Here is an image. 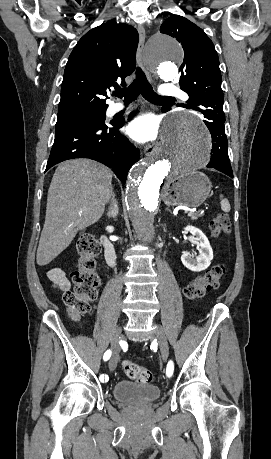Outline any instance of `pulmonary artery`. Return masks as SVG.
Here are the masks:
<instances>
[{"label": "pulmonary artery", "mask_w": 271, "mask_h": 459, "mask_svg": "<svg viewBox=\"0 0 271 459\" xmlns=\"http://www.w3.org/2000/svg\"><path fill=\"white\" fill-rule=\"evenodd\" d=\"M163 89L160 90L159 95L161 98H179V101L182 104H189L190 100L186 97V93L182 92L181 90H177L173 87V84L171 82L163 83L162 84ZM134 105L133 104H125L121 101L118 102H113L111 103L108 108L106 109V116L110 117L122 110H130L133 109Z\"/></svg>", "instance_id": "obj_1"}]
</instances>
